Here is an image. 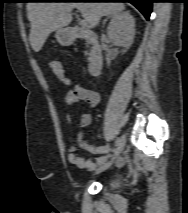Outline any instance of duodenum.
<instances>
[{
    "label": "duodenum",
    "mask_w": 188,
    "mask_h": 213,
    "mask_svg": "<svg viewBox=\"0 0 188 213\" xmlns=\"http://www.w3.org/2000/svg\"><path fill=\"white\" fill-rule=\"evenodd\" d=\"M72 35L73 40L84 39L90 43L91 50L88 71L91 76H97L102 70L104 60L103 51L98 36L93 32L79 27H74L72 29Z\"/></svg>",
    "instance_id": "duodenum-1"
}]
</instances>
